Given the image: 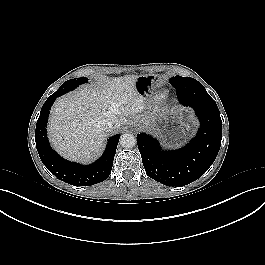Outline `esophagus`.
Returning a JSON list of instances; mask_svg holds the SVG:
<instances>
[{
    "label": "esophagus",
    "mask_w": 265,
    "mask_h": 265,
    "mask_svg": "<svg viewBox=\"0 0 265 265\" xmlns=\"http://www.w3.org/2000/svg\"><path fill=\"white\" fill-rule=\"evenodd\" d=\"M133 130H139V128L137 127V126H132V128H131V131H133Z\"/></svg>",
    "instance_id": "1"
}]
</instances>
